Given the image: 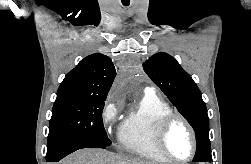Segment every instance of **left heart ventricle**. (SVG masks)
I'll use <instances>...</instances> for the list:
<instances>
[{"mask_svg": "<svg viewBox=\"0 0 251 164\" xmlns=\"http://www.w3.org/2000/svg\"><path fill=\"white\" fill-rule=\"evenodd\" d=\"M166 147L176 158L183 159L190 155L192 150L190 133L180 121H176L170 128L166 138Z\"/></svg>", "mask_w": 251, "mask_h": 164, "instance_id": "b2bd125f", "label": "left heart ventricle"}]
</instances>
